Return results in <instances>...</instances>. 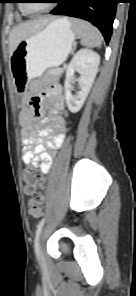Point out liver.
I'll use <instances>...</instances> for the list:
<instances>
[{
  "label": "liver",
  "instance_id": "1",
  "mask_svg": "<svg viewBox=\"0 0 136 296\" xmlns=\"http://www.w3.org/2000/svg\"><path fill=\"white\" fill-rule=\"evenodd\" d=\"M52 19V17H41L16 26L9 35L10 54L12 55L13 51L22 40L43 29Z\"/></svg>",
  "mask_w": 136,
  "mask_h": 296
}]
</instances>
